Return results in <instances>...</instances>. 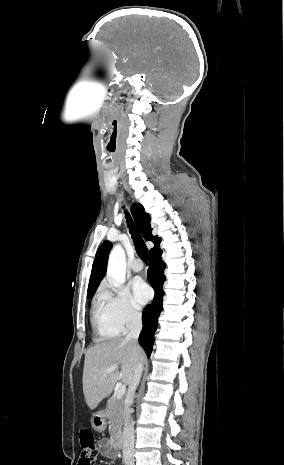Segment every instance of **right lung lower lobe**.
<instances>
[{
	"label": "right lung lower lobe",
	"mask_w": 284,
	"mask_h": 465,
	"mask_svg": "<svg viewBox=\"0 0 284 465\" xmlns=\"http://www.w3.org/2000/svg\"><path fill=\"white\" fill-rule=\"evenodd\" d=\"M162 250L158 247L149 253L150 267L148 269V281L155 290L153 303L147 305L143 310V328L139 336V343L145 350L148 358L152 352L154 333L158 326V317L162 311V297L164 292L162 285L165 280L163 271L165 263L161 260Z\"/></svg>",
	"instance_id": "98d812e1"
}]
</instances>
